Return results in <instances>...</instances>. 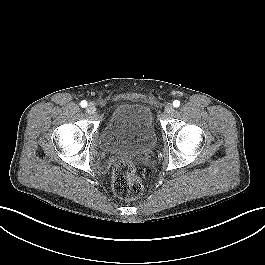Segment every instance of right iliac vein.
<instances>
[{"instance_id":"right-iliac-vein-1","label":"right iliac vein","mask_w":265,"mask_h":265,"mask_svg":"<svg viewBox=\"0 0 265 265\" xmlns=\"http://www.w3.org/2000/svg\"><path fill=\"white\" fill-rule=\"evenodd\" d=\"M86 112L90 115L94 114L96 112L95 106L90 103L86 108Z\"/></svg>"}]
</instances>
